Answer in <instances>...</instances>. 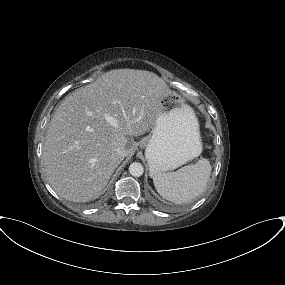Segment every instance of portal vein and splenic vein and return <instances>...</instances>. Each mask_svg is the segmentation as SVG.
I'll return each mask as SVG.
<instances>
[{
  "label": "portal vein and splenic vein",
  "instance_id": "portal-vein-and-splenic-vein-1",
  "mask_svg": "<svg viewBox=\"0 0 285 285\" xmlns=\"http://www.w3.org/2000/svg\"><path fill=\"white\" fill-rule=\"evenodd\" d=\"M105 118H106V120H107L111 125L117 126V121H116V119H114L113 117L108 116V115H106Z\"/></svg>",
  "mask_w": 285,
  "mask_h": 285
}]
</instances>
